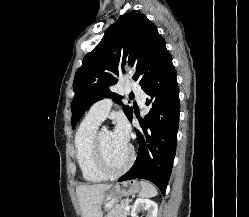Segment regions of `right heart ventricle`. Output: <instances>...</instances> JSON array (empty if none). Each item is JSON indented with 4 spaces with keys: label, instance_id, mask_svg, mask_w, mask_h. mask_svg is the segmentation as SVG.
Listing matches in <instances>:
<instances>
[{
    "label": "right heart ventricle",
    "instance_id": "obj_1",
    "mask_svg": "<svg viewBox=\"0 0 249 217\" xmlns=\"http://www.w3.org/2000/svg\"><path fill=\"white\" fill-rule=\"evenodd\" d=\"M100 122L87 114L81 121L74 139L75 156L79 169L83 179L90 183H99L107 178L98 168L94 151V137Z\"/></svg>",
    "mask_w": 249,
    "mask_h": 217
}]
</instances>
